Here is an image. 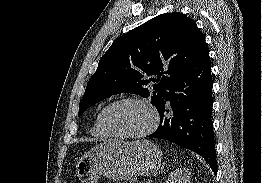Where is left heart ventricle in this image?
I'll return each instance as SVG.
<instances>
[{
  "label": "left heart ventricle",
  "mask_w": 262,
  "mask_h": 183,
  "mask_svg": "<svg viewBox=\"0 0 262 183\" xmlns=\"http://www.w3.org/2000/svg\"><path fill=\"white\" fill-rule=\"evenodd\" d=\"M105 122L118 134L139 133L151 125L152 114L141 104L125 103L111 108L106 113Z\"/></svg>",
  "instance_id": "obj_1"
}]
</instances>
